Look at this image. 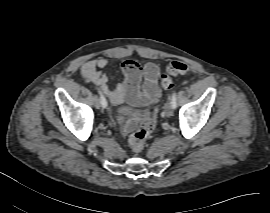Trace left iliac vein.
<instances>
[{
	"label": "left iliac vein",
	"mask_w": 270,
	"mask_h": 213,
	"mask_svg": "<svg viewBox=\"0 0 270 213\" xmlns=\"http://www.w3.org/2000/svg\"><path fill=\"white\" fill-rule=\"evenodd\" d=\"M164 114L166 117H172L173 116V108L171 106L170 102H167L164 106Z\"/></svg>",
	"instance_id": "left-iliac-vein-1"
}]
</instances>
